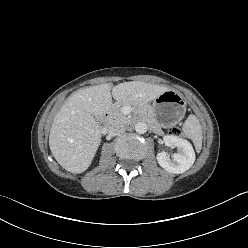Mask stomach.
<instances>
[{
  "instance_id": "0dacf381",
  "label": "stomach",
  "mask_w": 248,
  "mask_h": 248,
  "mask_svg": "<svg viewBox=\"0 0 248 248\" xmlns=\"http://www.w3.org/2000/svg\"><path fill=\"white\" fill-rule=\"evenodd\" d=\"M185 101L174 91L167 90L154 99L150 111L152 116L163 127L178 123L185 114Z\"/></svg>"
}]
</instances>
